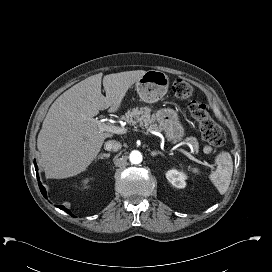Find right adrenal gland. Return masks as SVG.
<instances>
[{
  "label": "right adrenal gland",
  "instance_id": "right-adrenal-gland-1",
  "mask_svg": "<svg viewBox=\"0 0 272 272\" xmlns=\"http://www.w3.org/2000/svg\"><path fill=\"white\" fill-rule=\"evenodd\" d=\"M109 158L110 157V153H101V154H99L98 155V159H100V158Z\"/></svg>",
  "mask_w": 272,
  "mask_h": 272
}]
</instances>
